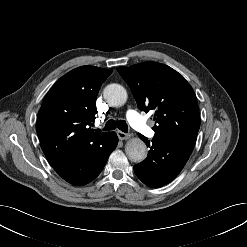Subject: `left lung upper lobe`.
<instances>
[{"label": "left lung upper lobe", "mask_w": 247, "mask_h": 247, "mask_svg": "<svg viewBox=\"0 0 247 247\" xmlns=\"http://www.w3.org/2000/svg\"><path fill=\"white\" fill-rule=\"evenodd\" d=\"M138 108L154 113V139L194 145L200 128L196 95L185 78L167 65L144 62L118 67Z\"/></svg>", "instance_id": "left-lung-upper-lobe-1"}]
</instances>
